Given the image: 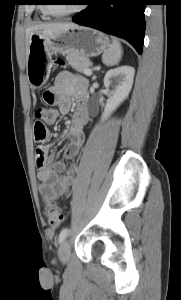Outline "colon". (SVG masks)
Wrapping results in <instances>:
<instances>
[{
	"label": "colon",
	"mask_w": 181,
	"mask_h": 300,
	"mask_svg": "<svg viewBox=\"0 0 181 300\" xmlns=\"http://www.w3.org/2000/svg\"><path fill=\"white\" fill-rule=\"evenodd\" d=\"M62 60L58 61L61 64ZM44 98L47 101L45 106L37 107L34 112L35 118L38 120L34 125V140L37 150L44 146L48 137V130L45 124L54 122L57 119V110L53 107L55 97L52 93L46 92ZM43 158L37 159L38 163H42ZM45 217L51 226H58L65 220V214L55 201H48L44 209Z\"/></svg>",
	"instance_id": "colon-1"
}]
</instances>
